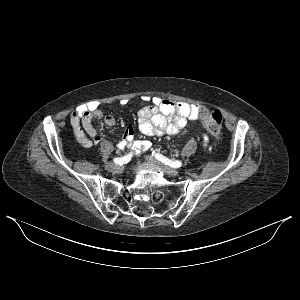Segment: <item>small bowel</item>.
<instances>
[{"label": "small bowel", "mask_w": 300, "mask_h": 300, "mask_svg": "<svg viewBox=\"0 0 300 300\" xmlns=\"http://www.w3.org/2000/svg\"><path fill=\"white\" fill-rule=\"evenodd\" d=\"M151 105L141 108L138 112V130L144 136L158 135H177L186 126L189 120L197 117V105L187 102H174L160 97H147ZM128 100L122 99L121 105H126ZM103 118L99 109V104L95 101L80 106L72 113L71 125L78 142L83 147H91L100 141L94 123ZM104 122L108 126H114L116 120L113 116L104 117ZM80 123L83 130L80 128ZM204 144H207L209 138L207 134L202 135ZM131 147L136 154L146 151L151 147L148 140H135L133 128L128 127L119 143V148Z\"/></svg>", "instance_id": "small-bowel-1"}]
</instances>
